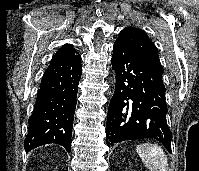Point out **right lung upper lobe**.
Here are the masks:
<instances>
[{
    "label": "right lung upper lobe",
    "instance_id": "obj_1",
    "mask_svg": "<svg viewBox=\"0 0 199 171\" xmlns=\"http://www.w3.org/2000/svg\"><path fill=\"white\" fill-rule=\"evenodd\" d=\"M76 55V50L73 48L71 44H65L61 48L58 49L54 57H72Z\"/></svg>",
    "mask_w": 199,
    "mask_h": 171
}]
</instances>
